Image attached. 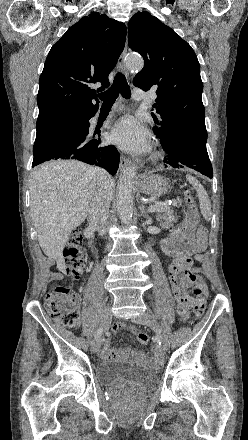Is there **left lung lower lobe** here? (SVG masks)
I'll return each mask as SVG.
<instances>
[{
    "label": "left lung lower lobe",
    "mask_w": 248,
    "mask_h": 440,
    "mask_svg": "<svg viewBox=\"0 0 248 440\" xmlns=\"http://www.w3.org/2000/svg\"><path fill=\"white\" fill-rule=\"evenodd\" d=\"M168 153L164 162L166 167L192 168L203 175L212 178L213 170L206 149V144H196L183 139H173L162 143Z\"/></svg>",
    "instance_id": "1"
}]
</instances>
